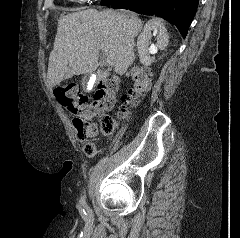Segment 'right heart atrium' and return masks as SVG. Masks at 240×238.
<instances>
[{"instance_id":"right-heart-atrium-1","label":"right heart atrium","mask_w":240,"mask_h":238,"mask_svg":"<svg viewBox=\"0 0 240 238\" xmlns=\"http://www.w3.org/2000/svg\"><path fill=\"white\" fill-rule=\"evenodd\" d=\"M74 1L79 2V3H89L93 0H74Z\"/></svg>"}]
</instances>
